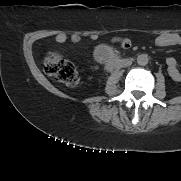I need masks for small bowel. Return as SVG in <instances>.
<instances>
[{"mask_svg":"<svg viewBox=\"0 0 181 181\" xmlns=\"http://www.w3.org/2000/svg\"><path fill=\"white\" fill-rule=\"evenodd\" d=\"M71 41L74 43H78L80 41V36L77 34H73L70 37ZM68 40V36L65 33H59L55 36V41L58 44H63ZM115 42L119 43L121 47L128 48L130 47V40L126 38H117L115 39ZM154 43L157 46L160 47H168V46H175V45H181V36L177 33H163L161 35H158L154 39ZM167 65V71L169 76L174 81H181V71L178 67V64L174 58H168L166 60Z\"/></svg>","mask_w":181,"mask_h":181,"instance_id":"c3829d8e","label":"small bowel"}]
</instances>
